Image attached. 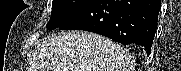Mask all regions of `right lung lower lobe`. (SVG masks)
<instances>
[{"instance_id":"98d812e1","label":"right lung lower lobe","mask_w":181,"mask_h":71,"mask_svg":"<svg viewBox=\"0 0 181 71\" xmlns=\"http://www.w3.org/2000/svg\"><path fill=\"white\" fill-rule=\"evenodd\" d=\"M161 0H94L59 29L86 30L121 44H138L150 55Z\"/></svg>"}]
</instances>
